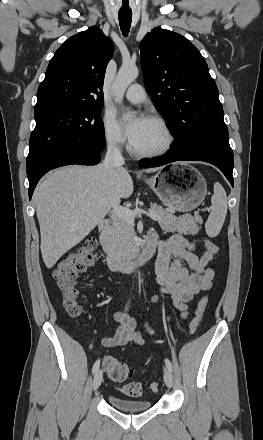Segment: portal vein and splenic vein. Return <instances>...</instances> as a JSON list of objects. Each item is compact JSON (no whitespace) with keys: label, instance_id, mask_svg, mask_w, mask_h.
Returning <instances> with one entry per match:
<instances>
[{"label":"portal vein and splenic vein","instance_id":"obj_1","mask_svg":"<svg viewBox=\"0 0 263 440\" xmlns=\"http://www.w3.org/2000/svg\"><path fill=\"white\" fill-rule=\"evenodd\" d=\"M112 213L114 215H116L117 217L123 218L127 221H129L130 223H132L134 225V219L135 216L137 214H146L148 217H150L153 220H160L161 217L159 215H157L156 213H154L153 211H149V212H145L143 210H135L132 211L128 208L122 207V206H115L112 210Z\"/></svg>","mask_w":263,"mask_h":440}]
</instances>
